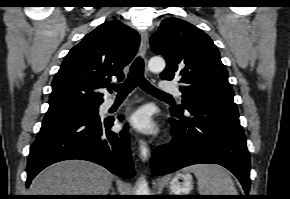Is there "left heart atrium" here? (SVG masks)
Here are the masks:
<instances>
[{
    "label": "left heart atrium",
    "mask_w": 290,
    "mask_h": 199,
    "mask_svg": "<svg viewBox=\"0 0 290 199\" xmlns=\"http://www.w3.org/2000/svg\"><path fill=\"white\" fill-rule=\"evenodd\" d=\"M127 121L133 128L142 133L152 134L157 130L151 110L148 107H142L136 110L128 117Z\"/></svg>",
    "instance_id": "obj_1"
}]
</instances>
